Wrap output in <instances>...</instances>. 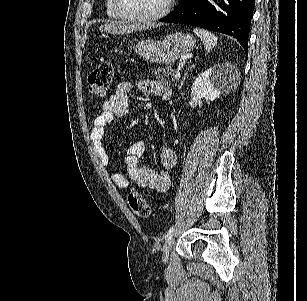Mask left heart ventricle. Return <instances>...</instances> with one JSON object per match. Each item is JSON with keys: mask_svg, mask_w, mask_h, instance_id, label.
I'll use <instances>...</instances> for the list:
<instances>
[{"mask_svg": "<svg viewBox=\"0 0 307 301\" xmlns=\"http://www.w3.org/2000/svg\"><path fill=\"white\" fill-rule=\"evenodd\" d=\"M122 13H152L160 11L166 0H122Z\"/></svg>", "mask_w": 307, "mask_h": 301, "instance_id": "left-heart-ventricle-1", "label": "left heart ventricle"}]
</instances>
